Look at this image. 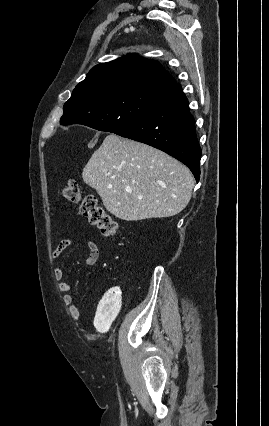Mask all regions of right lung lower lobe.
Returning <instances> with one entry per match:
<instances>
[{"instance_id":"1","label":"right lung lower lobe","mask_w":269,"mask_h":426,"mask_svg":"<svg viewBox=\"0 0 269 426\" xmlns=\"http://www.w3.org/2000/svg\"><path fill=\"white\" fill-rule=\"evenodd\" d=\"M114 133L168 153L184 163L199 181L201 148L188 100L178 83L165 88L138 121Z\"/></svg>"}]
</instances>
